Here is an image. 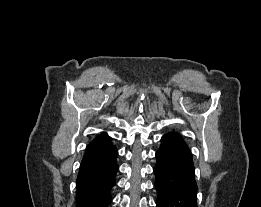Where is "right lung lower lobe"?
I'll use <instances>...</instances> for the list:
<instances>
[{"label": "right lung lower lobe", "mask_w": 261, "mask_h": 207, "mask_svg": "<svg viewBox=\"0 0 261 207\" xmlns=\"http://www.w3.org/2000/svg\"><path fill=\"white\" fill-rule=\"evenodd\" d=\"M117 155L109 137L86 147L77 176L76 207H109L116 184Z\"/></svg>", "instance_id": "obj_1"}]
</instances>
